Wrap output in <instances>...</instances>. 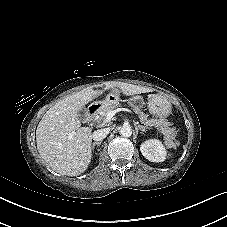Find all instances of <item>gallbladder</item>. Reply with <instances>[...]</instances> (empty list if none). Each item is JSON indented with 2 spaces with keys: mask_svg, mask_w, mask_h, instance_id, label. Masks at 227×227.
<instances>
[{
  "mask_svg": "<svg viewBox=\"0 0 227 227\" xmlns=\"http://www.w3.org/2000/svg\"><path fill=\"white\" fill-rule=\"evenodd\" d=\"M85 114H86V109L85 108H81V110L79 111V118L81 120H83L85 118Z\"/></svg>",
  "mask_w": 227,
  "mask_h": 227,
  "instance_id": "1",
  "label": "gallbladder"
}]
</instances>
